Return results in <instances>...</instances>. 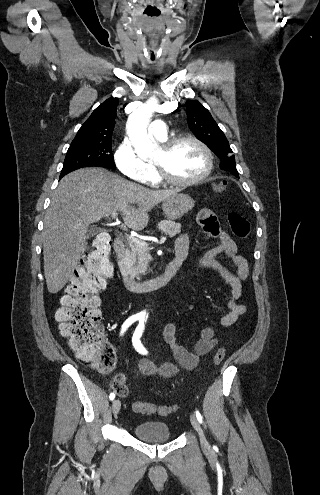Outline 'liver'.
Here are the masks:
<instances>
[{"instance_id": "liver-1", "label": "liver", "mask_w": 320, "mask_h": 495, "mask_svg": "<svg viewBox=\"0 0 320 495\" xmlns=\"http://www.w3.org/2000/svg\"><path fill=\"white\" fill-rule=\"evenodd\" d=\"M177 190L153 191L101 168L76 170L63 177L44 217L43 258L48 291H60L87 246L90 224L120 212L134 231L144 229L149 212Z\"/></svg>"}]
</instances>
